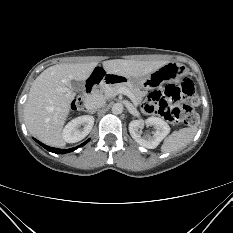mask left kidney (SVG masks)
<instances>
[{
	"label": "left kidney",
	"instance_id": "obj_1",
	"mask_svg": "<svg viewBox=\"0 0 233 233\" xmlns=\"http://www.w3.org/2000/svg\"><path fill=\"white\" fill-rule=\"evenodd\" d=\"M154 126L155 131L152 137L142 138L138 129L143 124ZM129 132L131 137L141 146L154 149L156 148L159 143L168 135L170 132L169 125L158 117H149L145 121L141 120H133L129 123Z\"/></svg>",
	"mask_w": 233,
	"mask_h": 233
}]
</instances>
